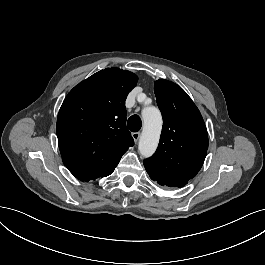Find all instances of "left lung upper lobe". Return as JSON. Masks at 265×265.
<instances>
[{"mask_svg": "<svg viewBox=\"0 0 265 265\" xmlns=\"http://www.w3.org/2000/svg\"><path fill=\"white\" fill-rule=\"evenodd\" d=\"M154 91L163 128L158 149L144 160V166L161 186L180 188L204 163L209 143L206 126L194 102L177 84L160 79Z\"/></svg>", "mask_w": 265, "mask_h": 265, "instance_id": "left-lung-upper-lobe-1", "label": "left lung upper lobe"}]
</instances>
